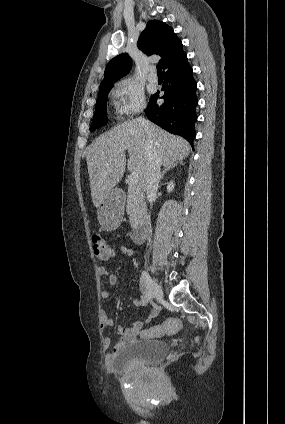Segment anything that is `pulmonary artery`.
Wrapping results in <instances>:
<instances>
[{"instance_id": "1", "label": "pulmonary artery", "mask_w": 285, "mask_h": 424, "mask_svg": "<svg viewBox=\"0 0 285 424\" xmlns=\"http://www.w3.org/2000/svg\"><path fill=\"white\" fill-rule=\"evenodd\" d=\"M148 79L150 82H153V83L158 81V77L154 72L149 73Z\"/></svg>"}]
</instances>
